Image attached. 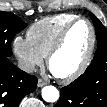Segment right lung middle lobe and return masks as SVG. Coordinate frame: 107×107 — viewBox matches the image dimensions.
Returning a JSON list of instances; mask_svg holds the SVG:
<instances>
[{
	"mask_svg": "<svg viewBox=\"0 0 107 107\" xmlns=\"http://www.w3.org/2000/svg\"><path fill=\"white\" fill-rule=\"evenodd\" d=\"M27 26L11 12H0V56L10 57L13 37Z\"/></svg>",
	"mask_w": 107,
	"mask_h": 107,
	"instance_id": "right-lung-middle-lobe-1",
	"label": "right lung middle lobe"
}]
</instances>
